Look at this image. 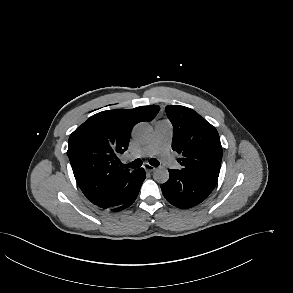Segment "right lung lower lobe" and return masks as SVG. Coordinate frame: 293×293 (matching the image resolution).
Returning <instances> with one entry per match:
<instances>
[{"label":"right lung lower lobe","mask_w":293,"mask_h":293,"mask_svg":"<svg viewBox=\"0 0 293 293\" xmlns=\"http://www.w3.org/2000/svg\"><path fill=\"white\" fill-rule=\"evenodd\" d=\"M138 176H139L138 183H137L136 188L133 191V193L129 196V198L123 204H121L117 207L111 208L112 211L123 210V209L127 208L128 206H130L135 201V199L139 193V190L141 188V185H142L143 181L145 180V171L143 168L138 169Z\"/></svg>","instance_id":"right-lung-lower-lobe-1"}]
</instances>
